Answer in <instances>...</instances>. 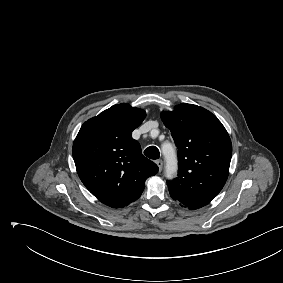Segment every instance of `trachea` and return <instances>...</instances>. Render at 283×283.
I'll return each mask as SVG.
<instances>
[{
	"mask_svg": "<svg viewBox=\"0 0 283 283\" xmlns=\"http://www.w3.org/2000/svg\"><path fill=\"white\" fill-rule=\"evenodd\" d=\"M145 156H147L150 159H158L159 158V150L157 147L155 146H150L148 148L145 149L144 151Z\"/></svg>",
	"mask_w": 283,
	"mask_h": 283,
	"instance_id": "obj_1",
	"label": "trachea"
}]
</instances>
